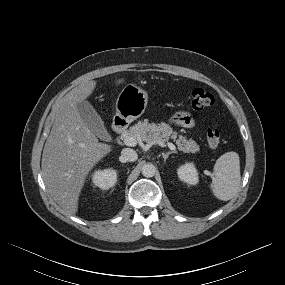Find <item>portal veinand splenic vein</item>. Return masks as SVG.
Segmentation results:
<instances>
[{"label": "portal vein and splenic vein", "mask_w": 285, "mask_h": 285, "mask_svg": "<svg viewBox=\"0 0 285 285\" xmlns=\"http://www.w3.org/2000/svg\"><path fill=\"white\" fill-rule=\"evenodd\" d=\"M124 143L127 145V146H131V147H134L137 145V139L135 137H125L124 138ZM160 146L164 147L166 146L164 143H158ZM167 146L171 149V150H176V147L173 143L171 142H168L167 143Z\"/></svg>", "instance_id": "portal-vein-and-splenic-vein-1"}]
</instances>
